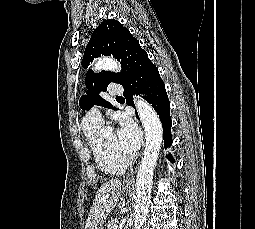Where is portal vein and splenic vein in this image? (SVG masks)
<instances>
[{
    "label": "portal vein and splenic vein",
    "mask_w": 255,
    "mask_h": 229,
    "mask_svg": "<svg viewBox=\"0 0 255 229\" xmlns=\"http://www.w3.org/2000/svg\"><path fill=\"white\" fill-rule=\"evenodd\" d=\"M117 228H118V225H117V224H115V225H114V229H117Z\"/></svg>",
    "instance_id": "portal-vein-and-splenic-vein-1"
}]
</instances>
